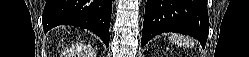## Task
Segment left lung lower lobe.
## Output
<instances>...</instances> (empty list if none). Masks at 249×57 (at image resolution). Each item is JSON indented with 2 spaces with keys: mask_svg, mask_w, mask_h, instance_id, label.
Instances as JSON below:
<instances>
[{
  "mask_svg": "<svg viewBox=\"0 0 249 57\" xmlns=\"http://www.w3.org/2000/svg\"><path fill=\"white\" fill-rule=\"evenodd\" d=\"M164 32L192 36L205 47L209 32L207 0H147L141 45Z\"/></svg>",
  "mask_w": 249,
  "mask_h": 57,
  "instance_id": "1",
  "label": "left lung lower lobe"
}]
</instances>
